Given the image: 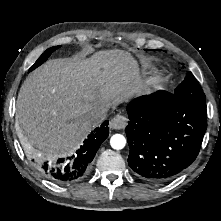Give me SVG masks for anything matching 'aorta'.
<instances>
[{
    "label": "aorta",
    "mask_w": 221,
    "mask_h": 221,
    "mask_svg": "<svg viewBox=\"0 0 221 221\" xmlns=\"http://www.w3.org/2000/svg\"><path fill=\"white\" fill-rule=\"evenodd\" d=\"M110 145L113 149L120 150L126 145V139L121 134H115L110 139Z\"/></svg>",
    "instance_id": "762f6f07"
}]
</instances>
